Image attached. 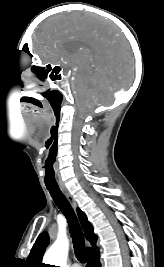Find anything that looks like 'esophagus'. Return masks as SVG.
I'll list each match as a JSON object with an SVG mask.
<instances>
[{
	"label": "esophagus",
	"instance_id": "1",
	"mask_svg": "<svg viewBox=\"0 0 164 267\" xmlns=\"http://www.w3.org/2000/svg\"><path fill=\"white\" fill-rule=\"evenodd\" d=\"M61 191L63 192V194L66 196V198L69 200V202L71 203V205L76 208V201L74 200V198L72 197V195L69 193V191L62 187Z\"/></svg>",
	"mask_w": 164,
	"mask_h": 267
}]
</instances>
